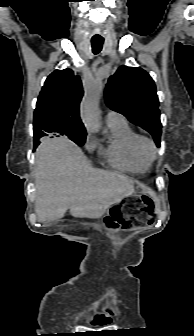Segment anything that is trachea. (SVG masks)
<instances>
[{
	"mask_svg": "<svg viewBox=\"0 0 194 336\" xmlns=\"http://www.w3.org/2000/svg\"><path fill=\"white\" fill-rule=\"evenodd\" d=\"M103 40H92L91 41V45H92V51L94 54H98L100 53V51L102 50L103 47Z\"/></svg>",
	"mask_w": 194,
	"mask_h": 336,
	"instance_id": "trachea-1",
	"label": "trachea"
}]
</instances>
